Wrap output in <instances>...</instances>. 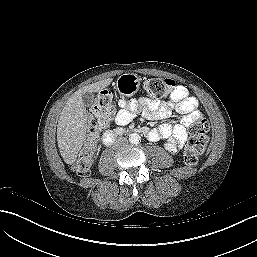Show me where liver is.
Masks as SVG:
<instances>
[{
  "label": "liver",
  "instance_id": "6515ba94",
  "mask_svg": "<svg viewBox=\"0 0 257 257\" xmlns=\"http://www.w3.org/2000/svg\"><path fill=\"white\" fill-rule=\"evenodd\" d=\"M113 81L107 78L77 90L62 109L57 125V142L60 154L66 164H73L85 142L87 133V112L82 101L86 92H99Z\"/></svg>",
  "mask_w": 257,
  "mask_h": 257
}]
</instances>
